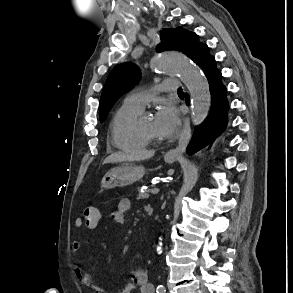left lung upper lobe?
Returning <instances> with one entry per match:
<instances>
[{
	"label": "left lung upper lobe",
	"mask_w": 293,
	"mask_h": 293,
	"mask_svg": "<svg viewBox=\"0 0 293 293\" xmlns=\"http://www.w3.org/2000/svg\"><path fill=\"white\" fill-rule=\"evenodd\" d=\"M161 44L157 51L177 50L195 60L204 44L197 40V35L181 27L161 31ZM140 79L138 66L133 63L117 65L109 74L99 103V117L103 121L118 98L133 88Z\"/></svg>",
	"instance_id": "obj_1"
}]
</instances>
